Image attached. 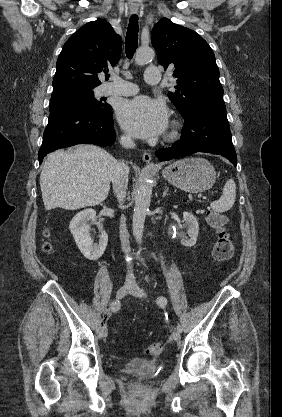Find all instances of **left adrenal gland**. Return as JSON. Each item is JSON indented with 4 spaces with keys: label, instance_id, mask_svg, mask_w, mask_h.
Wrapping results in <instances>:
<instances>
[{
    "label": "left adrenal gland",
    "instance_id": "a2214340",
    "mask_svg": "<svg viewBox=\"0 0 282 417\" xmlns=\"http://www.w3.org/2000/svg\"><path fill=\"white\" fill-rule=\"evenodd\" d=\"M168 190H169V186H167V184H166L165 190H164L162 196H166V194H168Z\"/></svg>",
    "mask_w": 282,
    "mask_h": 417
}]
</instances>
